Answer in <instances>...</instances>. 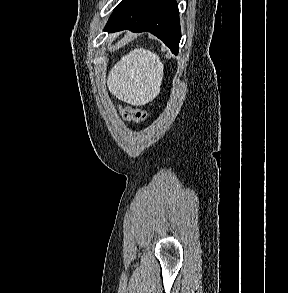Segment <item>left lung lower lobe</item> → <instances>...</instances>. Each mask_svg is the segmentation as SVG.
<instances>
[{"instance_id": "0a47b994", "label": "left lung lower lobe", "mask_w": 288, "mask_h": 293, "mask_svg": "<svg viewBox=\"0 0 288 293\" xmlns=\"http://www.w3.org/2000/svg\"><path fill=\"white\" fill-rule=\"evenodd\" d=\"M129 29L150 32L178 54L181 39L176 0H123L110 16L104 31Z\"/></svg>"}]
</instances>
